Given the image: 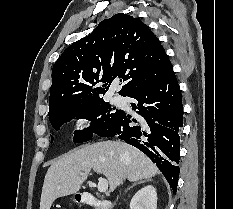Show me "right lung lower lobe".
<instances>
[{
    "label": "right lung lower lobe",
    "instance_id": "1",
    "mask_svg": "<svg viewBox=\"0 0 233 209\" xmlns=\"http://www.w3.org/2000/svg\"><path fill=\"white\" fill-rule=\"evenodd\" d=\"M128 97L135 99L132 109L137 120L122 111L119 118L99 136L126 141L144 152L163 173L176 193L180 168V130L183 126L181 91L173 67L151 85Z\"/></svg>",
    "mask_w": 233,
    "mask_h": 209
}]
</instances>
